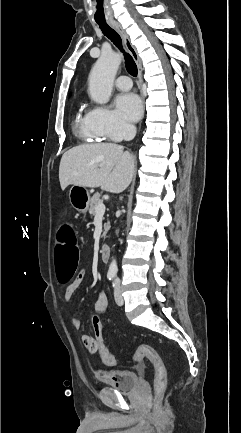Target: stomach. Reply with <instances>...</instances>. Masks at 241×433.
I'll return each instance as SVG.
<instances>
[{
	"mask_svg": "<svg viewBox=\"0 0 241 433\" xmlns=\"http://www.w3.org/2000/svg\"><path fill=\"white\" fill-rule=\"evenodd\" d=\"M90 193L82 186L73 185L69 191V200L74 209L86 213L90 204Z\"/></svg>",
	"mask_w": 241,
	"mask_h": 433,
	"instance_id": "stomach-1",
	"label": "stomach"
}]
</instances>
